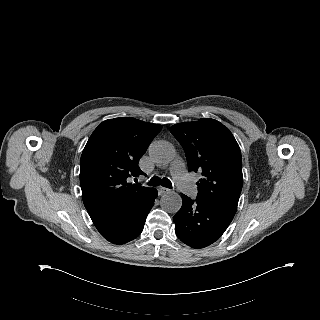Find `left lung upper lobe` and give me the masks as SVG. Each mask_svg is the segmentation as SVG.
Wrapping results in <instances>:
<instances>
[{
	"mask_svg": "<svg viewBox=\"0 0 320 320\" xmlns=\"http://www.w3.org/2000/svg\"><path fill=\"white\" fill-rule=\"evenodd\" d=\"M182 145L189 171L202 174L197 198L235 215L243 185L240 148L232 133L214 119L171 126Z\"/></svg>",
	"mask_w": 320,
	"mask_h": 320,
	"instance_id": "left-lung-upper-lobe-1",
	"label": "left lung upper lobe"
}]
</instances>
